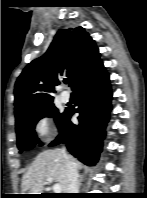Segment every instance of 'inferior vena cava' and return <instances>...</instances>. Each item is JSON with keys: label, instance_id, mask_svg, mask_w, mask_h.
Wrapping results in <instances>:
<instances>
[{"label": "inferior vena cava", "instance_id": "1", "mask_svg": "<svg viewBox=\"0 0 147 198\" xmlns=\"http://www.w3.org/2000/svg\"><path fill=\"white\" fill-rule=\"evenodd\" d=\"M62 153L66 159V178L67 188L66 193H78L79 182H78V171L73 162L68 158L65 148H62Z\"/></svg>", "mask_w": 147, "mask_h": 198}]
</instances>
